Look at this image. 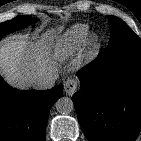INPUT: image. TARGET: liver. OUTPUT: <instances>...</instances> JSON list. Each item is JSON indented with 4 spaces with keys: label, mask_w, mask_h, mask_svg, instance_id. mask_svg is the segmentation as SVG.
<instances>
[{
    "label": "liver",
    "mask_w": 141,
    "mask_h": 141,
    "mask_svg": "<svg viewBox=\"0 0 141 141\" xmlns=\"http://www.w3.org/2000/svg\"><path fill=\"white\" fill-rule=\"evenodd\" d=\"M51 31L40 39L26 36L7 38L0 45V74L11 86L24 90L34 87V81L58 70L48 55Z\"/></svg>",
    "instance_id": "liver-1"
}]
</instances>
